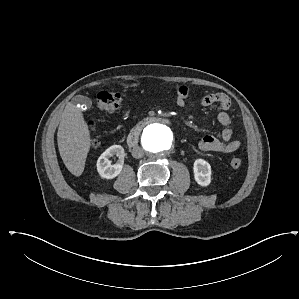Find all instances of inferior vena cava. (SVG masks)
<instances>
[{
	"instance_id": "obj_1",
	"label": "inferior vena cava",
	"mask_w": 299,
	"mask_h": 299,
	"mask_svg": "<svg viewBox=\"0 0 299 299\" xmlns=\"http://www.w3.org/2000/svg\"><path fill=\"white\" fill-rule=\"evenodd\" d=\"M132 156L136 159L142 158L144 156V150L141 147H134L131 151Z\"/></svg>"
}]
</instances>
